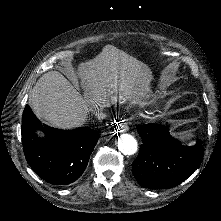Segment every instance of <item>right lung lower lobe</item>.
<instances>
[{"label":"right lung lower lobe","instance_id":"right-lung-lower-lobe-1","mask_svg":"<svg viewBox=\"0 0 221 221\" xmlns=\"http://www.w3.org/2000/svg\"><path fill=\"white\" fill-rule=\"evenodd\" d=\"M99 138L97 131L87 127L67 131L42 124L29 105L24 109V154L34 172L48 183L67 185L77 180Z\"/></svg>","mask_w":221,"mask_h":221}]
</instances>
